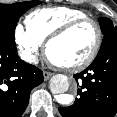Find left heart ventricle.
Listing matches in <instances>:
<instances>
[{"mask_svg":"<svg viewBox=\"0 0 117 117\" xmlns=\"http://www.w3.org/2000/svg\"><path fill=\"white\" fill-rule=\"evenodd\" d=\"M96 41L95 27L82 24L55 41L49 50L50 59L59 65H72L84 60L92 51Z\"/></svg>","mask_w":117,"mask_h":117,"instance_id":"obj_1","label":"left heart ventricle"}]
</instances>
